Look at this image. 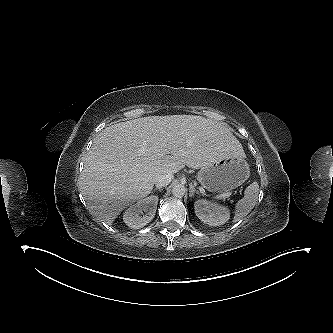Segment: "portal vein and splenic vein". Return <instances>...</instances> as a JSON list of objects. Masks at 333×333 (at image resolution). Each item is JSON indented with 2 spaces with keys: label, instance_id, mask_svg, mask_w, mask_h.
<instances>
[{
  "label": "portal vein and splenic vein",
  "instance_id": "obj_1",
  "mask_svg": "<svg viewBox=\"0 0 333 333\" xmlns=\"http://www.w3.org/2000/svg\"><path fill=\"white\" fill-rule=\"evenodd\" d=\"M201 192H202V193H205V190L202 188V189H201ZM230 195H231L230 192H225V193L221 194V197H223V198H227V197H229Z\"/></svg>",
  "mask_w": 333,
  "mask_h": 333
}]
</instances>
